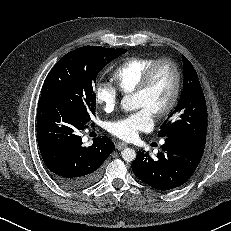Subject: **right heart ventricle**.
<instances>
[{
  "label": "right heart ventricle",
  "instance_id": "right-heart-ventricle-1",
  "mask_svg": "<svg viewBox=\"0 0 231 231\" xmlns=\"http://www.w3.org/2000/svg\"><path fill=\"white\" fill-rule=\"evenodd\" d=\"M154 61L153 57H138L123 62L112 75L117 89L123 94L132 93Z\"/></svg>",
  "mask_w": 231,
  "mask_h": 231
}]
</instances>
